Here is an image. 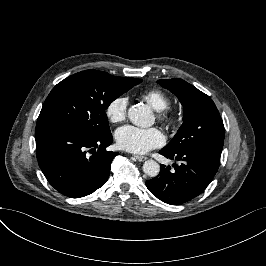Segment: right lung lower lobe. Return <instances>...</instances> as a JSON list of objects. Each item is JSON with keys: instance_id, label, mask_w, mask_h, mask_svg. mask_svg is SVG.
<instances>
[{"instance_id": "obj_1", "label": "right lung lower lobe", "mask_w": 266, "mask_h": 266, "mask_svg": "<svg viewBox=\"0 0 266 266\" xmlns=\"http://www.w3.org/2000/svg\"><path fill=\"white\" fill-rule=\"evenodd\" d=\"M112 142L111 132L89 136L57 127L36 137L38 163L49 183L61 194L84 197L107 181L112 159L118 154L106 150Z\"/></svg>"}]
</instances>
